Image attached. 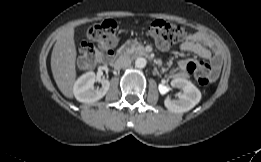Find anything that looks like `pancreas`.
I'll list each match as a JSON object with an SVG mask.
<instances>
[{"mask_svg": "<svg viewBox=\"0 0 261 162\" xmlns=\"http://www.w3.org/2000/svg\"><path fill=\"white\" fill-rule=\"evenodd\" d=\"M127 45L129 46L128 49L132 52L143 49V47L137 41H130L127 43Z\"/></svg>", "mask_w": 261, "mask_h": 162, "instance_id": "cf45deb5", "label": "pancreas"}]
</instances>
